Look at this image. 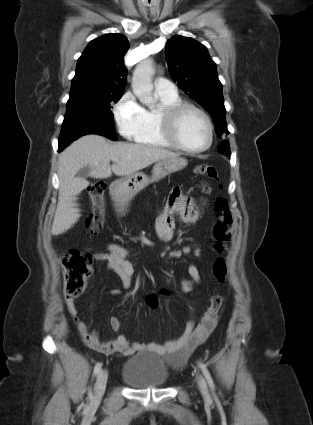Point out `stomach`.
I'll list each match as a JSON object with an SVG mask.
<instances>
[{
  "label": "stomach",
  "instance_id": "stomach-1",
  "mask_svg": "<svg viewBox=\"0 0 313 425\" xmlns=\"http://www.w3.org/2000/svg\"><path fill=\"white\" fill-rule=\"evenodd\" d=\"M187 163L188 161L182 157L160 160L154 165L151 177L142 172H137L116 180L111 187L112 196L117 201L128 202L149 184L158 182L166 176L182 170Z\"/></svg>",
  "mask_w": 313,
  "mask_h": 425
}]
</instances>
